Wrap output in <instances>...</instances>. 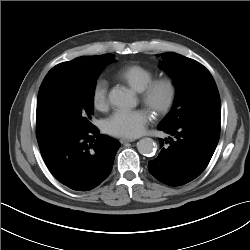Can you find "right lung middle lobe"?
I'll use <instances>...</instances> for the list:
<instances>
[{"instance_id":"right-lung-middle-lobe-1","label":"right lung middle lobe","mask_w":250,"mask_h":250,"mask_svg":"<svg viewBox=\"0 0 250 250\" xmlns=\"http://www.w3.org/2000/svg\"><path fill=\"white\" fill-rule=\"evenodd\" d=\"M109 54L88 72L57 81L37 99V140L60 134L85 133L91 124L96 80L105 65L114 60Z\"/></svg>"}]
</instances>
